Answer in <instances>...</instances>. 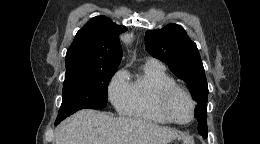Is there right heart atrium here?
Returning <instances> with one entry per match:
<instances>
[{
  "label": "right heart atrium",
  "mask_w": 260,
  "mask_h": 144,
  "mask_svg": "<svg viewBox=\"0 0 260 144\" xmlns=\"http://www.w3.org/2000/svg\"><path fill=\"white\" fill-rule=\"evenodd\" d=\"M130 94V83L124 69L115 73L108 85V97L116 110H125Z\"/></svg>",
  "instance_id": "d8ad5b80"
}]
</instances>
